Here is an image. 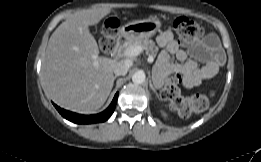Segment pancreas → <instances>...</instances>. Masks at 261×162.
<instances>
[{
  "label": "pancreas",
  "instance_id": "obj_1",
  "mask_svg": "<svg viewBox=\"0 0 261 162\" xmlns=\"http://www.w3.org/2000/svg\"><path fill=\"white\" fill-rule=\"evenodd\" d=\"M130 46H141L144 50L151 52L153 56L156 55L158 51V47L155 46V43L152 40L146 39H137V40H130L124 47V50Z\"/></svg>",
  "mask_w": 261,
  "mask_h": 162
}]
</instances>
